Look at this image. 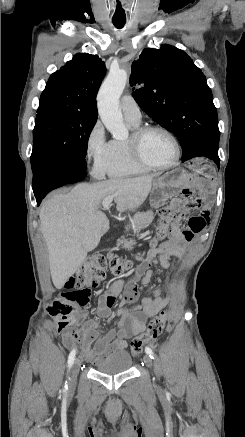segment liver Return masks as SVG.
I'll return each instance as SVG.
<instances>
[{
    "instance_id": "1",
    "label": "liver",
    "mask_w": 245,
    "mask_h": 437,
    "mask_svg": "<svg viewBox=\"0 0 245 437\" xmlns=\"http://www.w3.org/2000/svg\"><path fill=\"white\" fill-rule=\"evenodd\" d=\"M155 176L81 183L69 193H55L44 202L39 214L40 227L57 289L64 286L109 230V221L100 210L102 200L113 196L118 212L135 210L148 197Z\"/></svg>"
}]
</instances>
